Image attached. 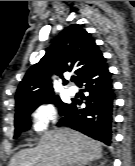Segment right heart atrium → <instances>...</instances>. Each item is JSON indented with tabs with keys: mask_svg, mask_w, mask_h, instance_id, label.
<instances>
[{
	"mask_svg": "<svg viewBox=\"0 0 135 166\" xmlns=\"http://www.w3.org/2000/svg\"><path fill=\"white\" fill-rule=\"evenodd\" d=\"M59 119L60 112L54 105L51 103H42L32 113L33 131L36 134H42Z\"/></svg>",
	"mask_w": 135,
	"mask_h": 166,
	"instance_id": "1",
	"label": "right heart atrium"
}]
</instances>
